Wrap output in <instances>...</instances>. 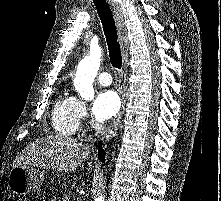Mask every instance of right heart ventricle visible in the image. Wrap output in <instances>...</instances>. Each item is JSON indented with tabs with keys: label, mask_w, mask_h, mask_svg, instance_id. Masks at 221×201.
I'll list each match as a JSON object with an SVG mask.
<instances>
[{
	"label": "right heart ventricle",
	"mask_w": 221,
	"mask_h": 201,
	"mask_svg": "<svg viewBox=\"0 0 221 201\" xmlns=\"http://www.w3.org/2000/svg\"><path fill=\"white\" fill-rule=\"evenodd\" d=\"M52 125L62 135H72L76 132L79 122L76 116L75 98L59 97L54 105Z\"/></svg>",
	"instance_id": "obj_1"
}]
</instances>
